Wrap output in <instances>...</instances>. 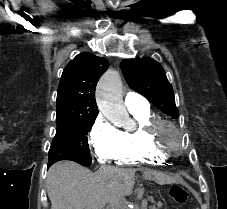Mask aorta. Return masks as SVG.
<instances>
[{
	"mask_svg": "<svg viewBox=\"0 0 227 209\" xmlns=\"http://www.w3.org/2000/svg\"><path fill=\"white\" fill-rule=\"evenodd\" d=\"M96 99L102 114L115 122L128 116L122 101V81L117 71L109 70L97 85Z\"/></svg>",
	"mask_w": 227,
	"mask_h": 209,
	"instance_id": "aorta-1",
	"label": "aorta"
}]
</instances>
